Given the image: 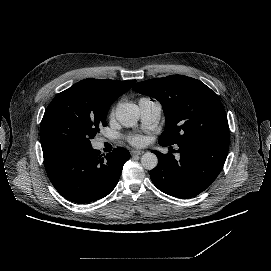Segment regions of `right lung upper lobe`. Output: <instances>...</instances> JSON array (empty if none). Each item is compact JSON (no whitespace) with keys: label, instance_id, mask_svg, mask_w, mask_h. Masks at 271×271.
<instances>
[{"label":"right lung upper lobe","instance_id":"right-lung-upper-lobe-1","mask_svg":"<svg viewBox=\"0 0 271 271\" xmlns=\"http://www.w3.org/2000/svg\"><path fill=\"white\" fill-rule=\"evenodd\" d=\"M136 80L116 81L88 78L63 92L72 93L90 110L107 113L111 104L127 92Z\"/></svg>","mask_w":271,"mask_h":271}]
</instances>
